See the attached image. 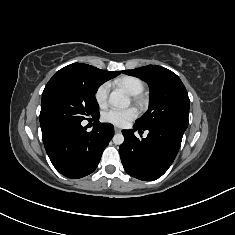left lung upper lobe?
Wrapping results in <instances>:
<instances>
[{
    "mask_svg": "<svg viewBox=\"0 0 235 235\" xmlns=\"http://www.w3.org/2000/svg\"><path fill=\"white\" fill-rule=\"evenodd\" d=\"M122 73L138 77L150 87L149 108L136 120L135 126L142 129L170 126L186 130L190 101L184 84L174 72L148 65Z\"/></svg>",
    "mask_w": 235,
    "mask_h": 235,
    "instance_id": "5c2ea615",
    "label": "left lung upper lobe"
}]
</instances>
